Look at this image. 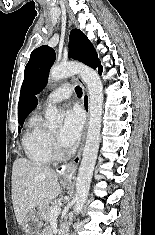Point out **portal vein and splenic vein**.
<instances>
[{"label": "portal vein and splenic vein", "instance_id": "portal-vein-and-splenic-vein-1", "mask_svg": "<svg viewBox=\"0 0 155 235\" xmlns=\"http://www.w3.org/2000/svg\"><path fill=\"white\" fill-rule=\"evenodd\" d=\"M61 212V205H56L52 208V217L58 216Z\"/></svg>", "mask_w": 155, "mask_h": 235}]
</instances>
